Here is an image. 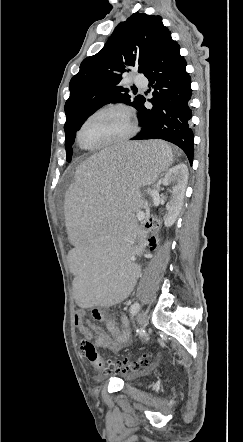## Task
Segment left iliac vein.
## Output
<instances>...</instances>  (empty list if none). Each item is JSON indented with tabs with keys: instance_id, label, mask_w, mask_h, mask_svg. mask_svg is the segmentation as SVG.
Masks as SVG:
<instances>
[{
	"instance_id": "1",
	"label": "left iliac vein",
	"mask_w": 243,
	"mask_h": 442,
	"mask_svg": "<svg viewBox=\"0 0 243 442\" xmlns=\"http://www.w3.org/2000/svg\"><path fill=\"white\" fill-rule=\"evenodd\" d=\"M147 320H148V317H147L146 312H144V311L138 312V314H137V322H138V324L140 325L141 328H144L146 326Z\"/></svg>"
}]
</instances>
